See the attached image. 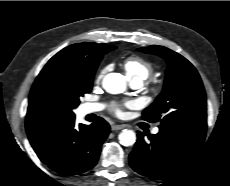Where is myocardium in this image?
<instances>
[{
    "instance_id": "f54148a6",
    "label": "myocardium",
    "mask_w": 230,
    "mask_h": 186,
    "mask_svg": "<svg viewBox=\"0 0 230 186\" xmlns=\"http://www.w3.org/2000/svg\"><path fill=\"white\" fill-rule=\"evenodd\" d=\"M162 87V83L158 79H152L150 84V91L152 93H158Z\"/></svg>"
}]
</instances>
